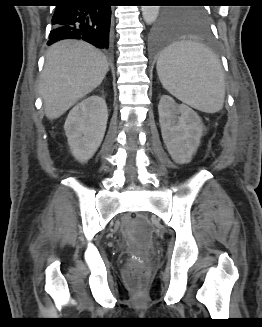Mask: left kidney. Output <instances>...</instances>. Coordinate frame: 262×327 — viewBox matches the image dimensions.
<instances>
[{
    "label": "left kidney",
    "instance_id": "left-kidney-1",
    "mask_svg": "<svg viewBox=\"0 0 262 327\" xmlns=\"http://www.w3.org/2000/svg\"><path fill=\"white\" fill-rule=\"evenodd\" d=\"M158 112L162 137L170 156L178 164L189 163L203 135L199 115L168 95L161 97Z\"/></svg>",
    "mask_w": 262,
    "mask_h": 327
}]
</instances>
